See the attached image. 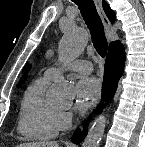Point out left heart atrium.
Instances as JSON below:
<instances>
[{"instance_id":"left-heart-atrium-1","label":"left heart atrium","mask_w":145,"mask_h":147,"mask_svg":"<svg viewBox=\"0 0 145 147\" xmlns=\"http://www.w3.org/2000/svg\"><path fill=\"white\" fill-rule=\"evenodd\" d=\"M77 107L81 110L92 106L101 94V83L95 77H84L76 86Z\"/></svg>"}]
</instances>
